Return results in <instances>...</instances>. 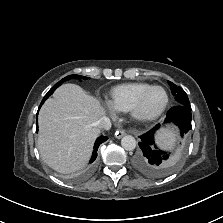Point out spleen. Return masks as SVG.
Here are the masks:
<instances>
[{
	"label": "spleen",
	"mask_w": 223,
	"mask_h": 223,
	"mask_svg": "<svg viewBox=\"0 0 223 223\" xmlns=\"http://www.w3.org/2000/svg\"><path fill=\"white\" fill-rule=\"evenodd\" d=\"M176 136L174 130H164L156 136V142L162 149H173Z\"/></svg>",
	"instance_id": "1"
}]
</instances>
